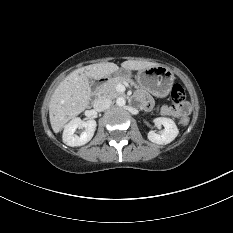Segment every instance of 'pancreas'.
I'll list each match as a JSON object with an SVG mask.
<instances>
[{"instance_id": "cf45deb5", "label": "pancreas", "mask_w": 233, "mask_h": 233, "mask_svg": "<svg viewBox=\"0 0 233 233\" xmlns=\"http://www.w3.org/2000/svg\"><path fill=\"white\" fill-rule=\"evenodd\" d=\"M118 84H130L132 86H137L136 83L130 79V78H126V77H115L112 78L110 80H108L107 82H105L98 90H97V94L99 97H105V98H110V99H114L120 95H122V92H119L116 90V87Z\"/></svg>"}]
</instances>
